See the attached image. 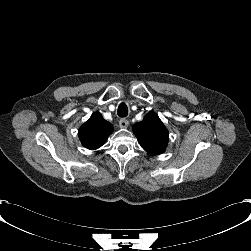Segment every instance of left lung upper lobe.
I'll return each instance as SVG.
<instances>
[{
    "label": "left lung upper lobe",
    "instance_id": "5c2ea615",
    "mask_svg": "<svg viewBox=\"0 0 251 251\" xmlns=\"http://www.w3.org/2000/svg\"><path fill=\"white\" fill-rule=\"evenodd\" d=\"M133 132L142 148L151 155H158L165 151L169 134L156 113L149 112L141 122L135 123Z\"/></svg>",
    "mask_w": 251,
    "mask_h": 251
}]
</instances>
